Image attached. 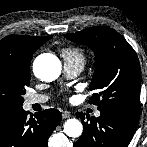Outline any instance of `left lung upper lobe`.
Listing matches in <instances>:
<instances>
[{
  "instance_id": "left-lung-upper-lobe-1",
  "label": "left lung upper lobe",
  "mask_w": 147,
  "mask_h": 147,
  "mask_svg": "<svg viewBox=\"0 0 147 147\" xmlns=\"http://www.w3.org/2000/svg\"><path fill=\"white\" fill-rule=\"evenodd\" d=\"M89 45L95 55V72L89 99L99 111L116 113L137 124L140 114L141 70L130 44L114 29L102 26L64 35Z\"/></svg>"
}]
</instances>
